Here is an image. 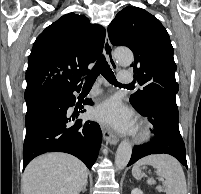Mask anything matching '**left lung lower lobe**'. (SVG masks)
I'll list each match as a JSON object with an SVG mask.
<instances>
[{"instance_id": "0a47b994", "label": "left lung lower lobe", "mask_w": 201, "mask_h": 194, "mask_svg": "<svg viewBox=\"0 0 201 194\" xmlns=\"http://www.w3.org/2000/svg\"><path fill=\"white\" fill-rule=\"evenodd\" d=\"M137 111L148 117L153 126L151 132L155 136L151 143L134 147L128 166L144 156L165 153L174 156L187 167L185 145L179 132L176 101L155 98Z\"/></svg>"}]
</instances>
